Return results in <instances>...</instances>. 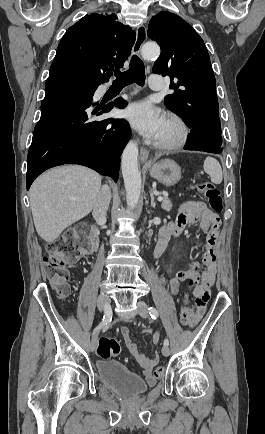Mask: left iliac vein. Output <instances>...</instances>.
<instances>
[{
    "instance_id": "4c4485c4",
    "label": "left iliac vein",
    "mask_w": 265,
    "mask_h": 434,
    "mask_svg": "<svg viewBox=\"0 0 265 434\" xmlns=\"http://www.w3.org/2000/svg\"><path fill=\"white\" fill-rule=\"evenodd\" d=\"M137 312L139 313L140 316H142L143 318H147L148 317V312H147V304L144 301H138L137 302ZM170 353V349L168 346H163L162 347V354L164 356H168Z\"/></svg>"
}]
</instances>
